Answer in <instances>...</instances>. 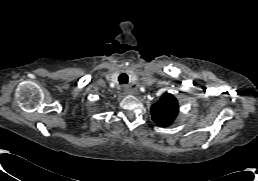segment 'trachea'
Listing matches in <instances>:
<instances>
[{
	"label": "trachea",
	"mask_w": 258,
	"mask_h": 181,
	"mask_svg": "<svg viewBox=\"0 0 258 181\" xmlns=\"http://www.w3.org/2000/svg\"><path fill=\"white\" fill-rule=\"evenodd\" d=\"M119 82H120V84L127 83L128 82V76L125 73H122L119 76Z\"/></svg>",
	"instance_id": "obj_1"
}]
</instances>
